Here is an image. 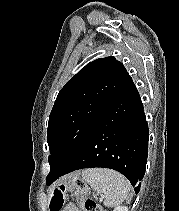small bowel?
I'll list each match as a JSON object with an SVG mask.
<instances>
[{
  "label": "small bowel",
  "mask_w": 179,
  "mask_h": 211,
  "mask_svg": "<svg viewBox=\"0 0 179 211\" xmlns=\"http://www.w3.org/2000/svg\"><path fill=\"white\" fill-rule=\"evenodd\" d=\"M63 211H80V209L74 204H68Z\"/></svg>",
  "instance_id": "1"
}]
</instances>
